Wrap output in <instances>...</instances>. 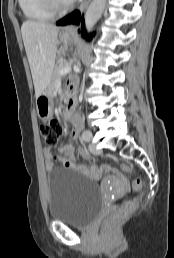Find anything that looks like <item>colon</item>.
Wrapping results in <instances>:
<instances>
[{
    "instance_id": "obj_1",
    "label": "colon",
    "mask_w": 174,
    "mask_h": 258,
    "mask_svg": "<svg viewBox=\"0 0 174 258\" xmlns=\"http://www.w3.org/2000/svg\"><path fill=\"white\" fill-rule=\"evenodd\" d=\"M40 132L44 139L45 144L48 147L55 146L62 133H63V125L58 120H50L48 122H44L40 126ZM123 169L127 172H133V168L124 165ZM142 187V180L137 178L132 183V189L134 191H139ZM137 201L131 200L126 201L121 204L110 216H108L103 223V231L105 234L112 233L120 222L131 213L136 207Z\"/></svg>"
}]
</instances>
